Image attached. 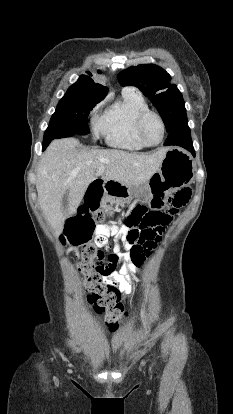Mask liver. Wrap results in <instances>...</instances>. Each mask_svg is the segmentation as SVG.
Wrapping results in <instances>:
<instances>
[{"mask_svg": "<svg viewBox=\"0 0 233 414\" xmlns=\"http://www.w3.org/2000/svg\"><path fill=\"white\" fill-rule=\"evenodd\" d=\"M79 144L75 138L52 141L37 168L39 205L57 234L63 230L66 219L76 213L89 184L98 176L105 181L139 187L159 170L168 151L162 148L145 154L119 149L78 150ZM99 169H103L102 174H98ZM64 198L69 205L66 213L62 210Z\"/></svg>", "mask_w": 233, "mask_h": 414, "instance_id": "obj_1", "label": "liver"}]
</instances>
